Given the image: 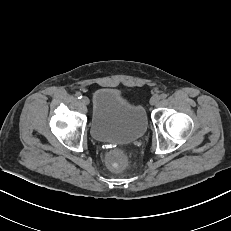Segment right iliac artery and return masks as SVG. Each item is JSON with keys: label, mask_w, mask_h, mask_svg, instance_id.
<instances>
[{"label": "right iliac artery", "mask_w": 231, "mask_h": 231, "mask_svg": "<svg viewBox=\"0 0 231 231\" xmlns=\"http://www.w3.org/2000/svg\"><path fill=\"white\" fill-rule=\"evenodd\" d=\"M76 97H77L78 99H81V98H82V94H81L80 92H77V93H76Z\"/></svg>", "instance_id": "1"}]
</instances>
